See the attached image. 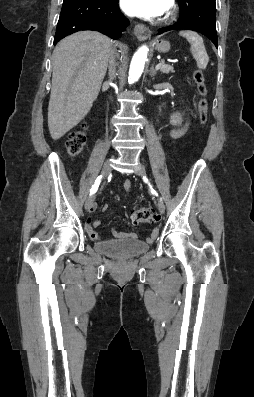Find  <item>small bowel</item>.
Returning a JSON list of instances; mask_svg holds the SVG:
<instances>
[{"mask_svg": "<svg viewBox=\"0 0 254 397\" xmlns=\"http://www.w3.org/2000/svg\"><path fill=\"white\" fill-rule=\"evenodd\" d=\"M187 128H188V124H185L183 127L173 130L171 132V136L173 138H179L186 132ZM124 188H125L126 192L130 191V181L129 180L125 181ZM107 208H108L107 206H104L103 210L106 211ZM96 209H97L96 204H92V206L89 209L90 215L85 222V228H86V231H87L89 237L92 240L98 241V240H100V236H99L98 232L95 230V228L101 224V220L96 219L93 221L92 217H91V215L96 211ZM113 234L117 238H128V239L136 238V234L133 232H118L116 230H113ZM157 234H158V230L155 229L152 232L151 236L149 238H147V240L151 241V240L155 239Z\"/></svg>", "mask_w": 254, "mask_h": 397, "instance_id": "small-bowel-1", "label": "small bowel"}]
</instances>
